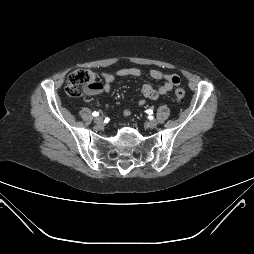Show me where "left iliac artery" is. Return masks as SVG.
<instances>
[{
  "instance_id": "44dca946",
  "label": "left iliac artery",
  "mask_w": 254,
  "mask_h": 254,
  "mask_svg": "<svg viewBox=\"0 0 254 254\" xmlns=\"http://www.w3.org/2000/svg\"><path fill=\"white\" fill-rule=\"evenodd\" d=\"M146 112H147L148 114H152V113H153L152 110H147Z\"/></svg>"
}]
</instances>
